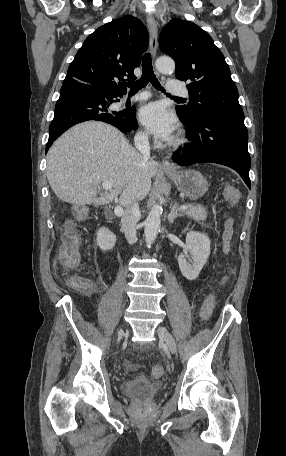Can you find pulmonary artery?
I'll use <instances>...</instances> for the list:
<instances>
[{
  "label": "pulmonary artery",
  "mask_w": 286,
  "mask_h": 456,
  "mask_svg": "<svg viewBox=\"0 0 286 456\" xmlns=\"http://www.w3.org/2000/svg\"><path fill=\"white\" fill-rule=\"evenodd\" d=\"M167 91L169 94L174 95V96H182V97H187L188 96V91L179 85V81L176 78H171L168 82V88ZM150 97V94L147 92H141L131 98L133 101H141L145 100Z\"/></svg>",
  "instance_id": "obj_1"
}]
</instances>
